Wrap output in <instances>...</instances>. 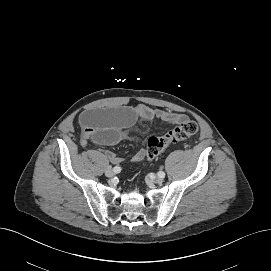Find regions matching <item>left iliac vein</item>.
Masks as SVG:
<instances>
[{"label":"left iliac vein","instance_id":"1","mask_svg":"<svg viewBox=\"0 0 271 271\" xmlns=\"http://www.w3.org/2000/svg\"><path fill=\"white\" fill-rule=\"evenodd\" d=\"M152 180L154 183H157V184H161L163 182V178L159 176L154 177Z\"/></svg>","mask_w":271,"mask_h":271}]
</instances>
